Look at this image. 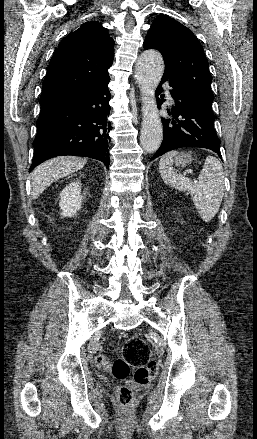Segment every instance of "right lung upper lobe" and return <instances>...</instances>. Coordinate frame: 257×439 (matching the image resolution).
I'll return each instance as SVG.
<instances>
[{
  "label": "right lung upper lobe",
  "instance_id": "right-lung-upper-lobe-1",
  "mask_svg": "<svg viewBox=\"0 0 257 439\" xmlns=\"http://www.w3.org/2000/svg\"><path fill=\"white\" fill-rule=\"evenodd\" d=\"M114 40L98 21L83 23L67 35L53 54L40 103L95 85L109 77Z\"/></svg>",
  "mask_w": 257,
  "mask_h": 439
}]
</instances>
